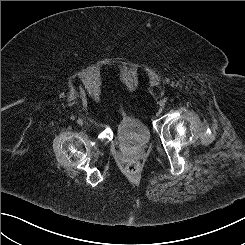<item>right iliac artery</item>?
Listing matches in <instances>:
<instances>
[{
    "label": "right iliac artery",
    "instance_id": "1",
    "mask_svg": "<svg viewBox=\"0 0 245 245\" xmlns=\"http://www.w3.org/2000/svg\"><path fill=\"white\" fill-rule=\"evenodd\" d=\"M70 119H71L72 121H74V120H75V116L72 115V116L70 117Z\"/></svg>",
    "mask_w": 245,
    "mask_h": 245
}]
</instances>
